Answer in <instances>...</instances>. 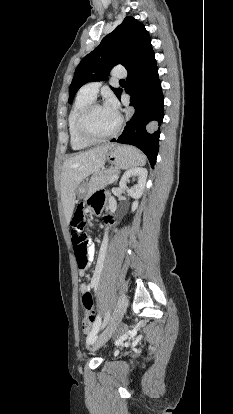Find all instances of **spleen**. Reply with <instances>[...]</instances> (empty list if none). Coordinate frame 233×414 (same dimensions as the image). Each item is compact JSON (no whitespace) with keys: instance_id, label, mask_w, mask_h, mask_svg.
Here are the masks:
<instances>
[{"instance_id":"3e777b00","label":"spleen","mask_w":233,"mask_h":414,"mask_svg":"<svg viewBox=\"0 0 233 414\" xmlns=\"http://www.w3.org/2000/svg\"><path fill=\"white\" fill-rule=\"evenodd\" d=\"M144 164H145V157L143 156L141 160L138 163L134 164L133 166H143Z\"/></svg>"}]
</instances>
